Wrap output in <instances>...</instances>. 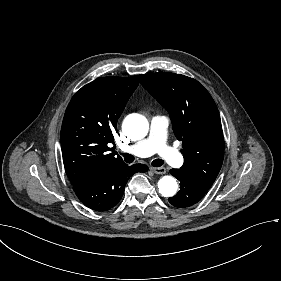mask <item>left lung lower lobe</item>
<instances>
[{"mask_svg":"<svg viewBox=\"0 0 281 281\" xmlns=\"http://www.w3.org/2000/svg\"><path fill=\"white\" fill-rule=\"evenodd\" d=\"M170 173L180 181L179 192L169 198V202L176 207H189L200 201L208 191L199 185L191 176L182 173L179 169H171Z\"/></svg>","mask_w":281,"mask_h":281,"instance_id":"obj_1","label":"left lung lower lobe"}]
</instances>
